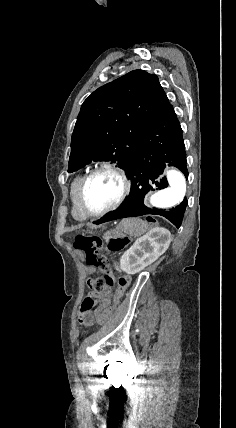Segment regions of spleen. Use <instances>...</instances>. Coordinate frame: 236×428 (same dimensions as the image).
Wrapping results in <instances>:
<instances>
[{"label":"spleen","instance_id":"3e777b00","mask_svg":"<svg viewBox=\"0 0 236 428\" xmlns=\"http://www.w3.org/2000/svg\"><path fill=\"white\" fill-rule=\"evenodd\" d=\"M117 230L130 234V236H142L148 230L147 222H143L140 218H124L120 222Z\"/></svg>","mask_w":236,"mask_h":428}]
</instances>
